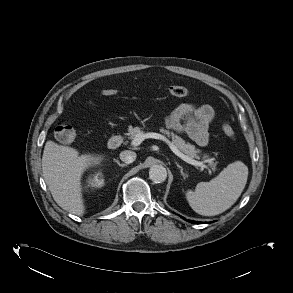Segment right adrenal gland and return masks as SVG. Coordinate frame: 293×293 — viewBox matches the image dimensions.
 <instances>
[{
  "instance_id": "obj_1",
  "label": "right adrenal gland",
  "mask_w": 293,
  "mask_h": 293,
  "mask_svg": "<svg viewBox=\"0 0 293 293\" xmlns=\"http://www.w3.org/2000/svg\"><path fill=\"white\" fill-rule=\"evenodd\" d=\"M114 162H116L121 168L127 166V164H122L119 162V160L114 159Z\"/></svg>"
}]
</instances>
